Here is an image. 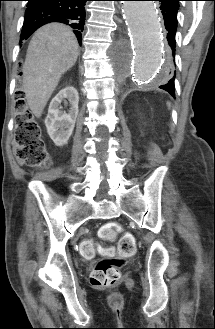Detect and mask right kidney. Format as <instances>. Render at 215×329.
<instances>
[{"mask_svg":"<svg viewBox=\"0 0 215 329\" xmlns=\"http://www.w3.org/2000/svg\"><path fill=\"white\" fill-rule=\"evenodd\" d=\"M62 102L65 107L68 105L70 106L67 112L63 110V107L61 106ZM78 102V92L72 86L65 87L59 91L50 102L45 125L47 132L55 145L63 146L67 144L72 135L79 112Z\"/></svg>","mask_w":215,"mask_h":329,"instance_id":"right-kidney-1","label":"right kidney"}]
</instances>
